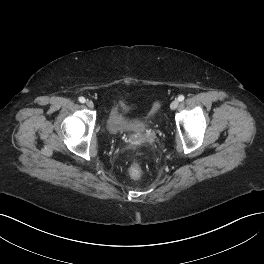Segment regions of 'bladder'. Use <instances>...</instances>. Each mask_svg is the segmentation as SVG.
<instances>
[{
	"label": "bladder",
	"instance_id": "obj_1",
	"mask_svg": "<svg viewBox=\"0 0 264 264\" xmlns=\"http://www.w3.org/2000/svg\"><path fill=\"white\" fill-rule=\"evenodd\" d=\"M127 108L125 104L121 103L116 104L109 111L106 124L111 133L130 132L138 128L137 120L125 115V110H127Z\"/></svg>",
	"mask_w": 264,
	"mask_h": 264
}]
</instances>
